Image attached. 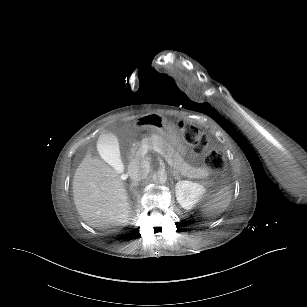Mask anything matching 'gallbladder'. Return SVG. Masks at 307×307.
I'll list each match as a JSON object with an SVG mask.
<instances>
[{
	"mask_svg": "<svg viewBox=\"0 0 307 307\" xmlns=\"http://www.w3.org/2000/svg\"><path fill=\"white\" fill-rule=\"evenodd\" d=\"M95 147L100 150V154L105 157L109 164H113L114 171L119 174L120 179H127L128 174L123 171L121 159L119 157V143L117 137L111 134H102L95 140Z\"/></svg>",
	"mask_w": 307,
	"mask_h": 307,
	"instance_id": "1",
	"label": "gallbladder"
}]
</instances>
